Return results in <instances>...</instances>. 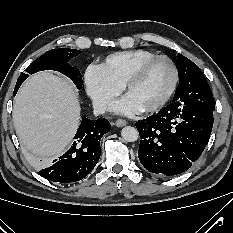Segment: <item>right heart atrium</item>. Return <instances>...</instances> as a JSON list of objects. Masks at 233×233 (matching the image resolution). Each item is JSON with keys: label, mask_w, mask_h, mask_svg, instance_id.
Instances as JSON below:
<instances>
[{"label": "right heart atrium", "mask_w": 233, "mask_h": 233, "mask_svg": "<svg viewBox=\"0 0 233 233\" xmlns=\"http://www.w3.org/2000/svg\"><path fill=\"white\" fill-rule=\"evenodd\" d=\"M84 81L93 106L101 112L110 107L122 89V86L113 81L102 65H89L84 74Z\"/></svg>", "instance_id": "right-heart-atrium-1"}]
</instances>
